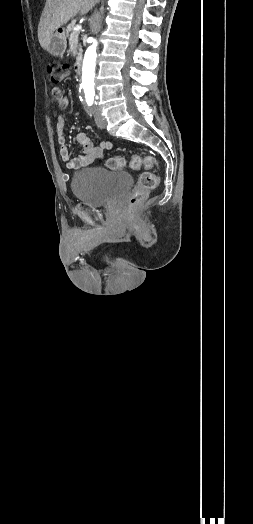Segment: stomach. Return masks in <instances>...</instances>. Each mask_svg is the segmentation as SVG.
Here are the masks:
<instances>
[{
	"instance_id": "obj_1",
	"label": "stomach",
	"mask_w": 253,
	"mask_h": 524,
	"mask_svg": "<svg viewBox=\"0 0 253 524\" xmlns=\"http://www.w3.org/2000/svg\"><path fill=\"white\" fill-rule=\"evenodd\" d=\"M67 47V40L65 31L62 28H58L55 33H53L47 51L56 57L63 56Z\"/></svg>"
}]
</instances>
